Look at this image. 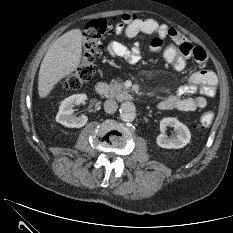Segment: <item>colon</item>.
<instances>
[{
  "label": "colon",
  "mask_w": 233,
  "mask_h": 233,
  "mask_svg": "<svg viewBox=\"0 0 233 233\" xmlns=\"http://www.w3.org/2000/svg\"><path fill=\"white\" fill-rule=\"evenodd\" d=\"M112 23L107 19H96L89 22L84 30L82 39V59L79 67L63 82V87L68 90H77L86 84L93 76V66L100 56L101 40L105 34L112 31ZM150 46L155 51L162 50L166 61L176 70H183L186 60L174 46H166V40L159 36L151 40ZM214 119L212 110L203 113L196 127L205 129Z\"/></svg>",
  "instance_id": "obj_1"
}]
</instances>
